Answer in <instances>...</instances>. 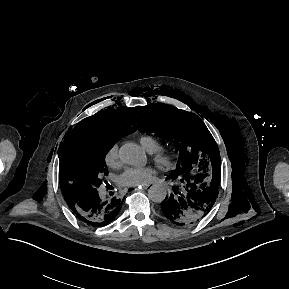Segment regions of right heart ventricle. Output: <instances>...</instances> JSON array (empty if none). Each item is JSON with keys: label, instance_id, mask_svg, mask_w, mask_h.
Instances as JSON below:
<instances>
[{"label": "right heart ventricle", "instance_id": "right-heart-ventricle-1", "mask_svg": "<svg viewBox=\"0 0 289 289\" xmlns=\"http://www.w3.org/2000/svg\"><path fill=\"white\" fill-rule=\"evenodd\" d=\"M139 140L142 146L150 153L156 152L161 148L160 142L152 136L142 135Z\"/></svg>", "mask_w": 289, "mask_h": 289}]
</instances>
